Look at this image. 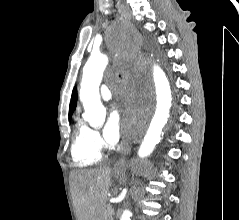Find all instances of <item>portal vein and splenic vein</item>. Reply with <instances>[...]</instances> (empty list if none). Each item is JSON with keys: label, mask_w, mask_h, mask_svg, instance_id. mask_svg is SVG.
<instances>
[{"label": "portal vein and splenic vein", "mask_w": 239, "mask_h": 220, "mask_svg": "<svg viewBox=\"0 0 239 220\" xmlns=\"http://www.w3.org/2000/svg\"><path fill=\"white\" fill-rule=\"evenodd\" d=\"M111 211H112V213H114V209H112Z\"/></svg>", "instance_id": "obj_1"}]
</instances>
